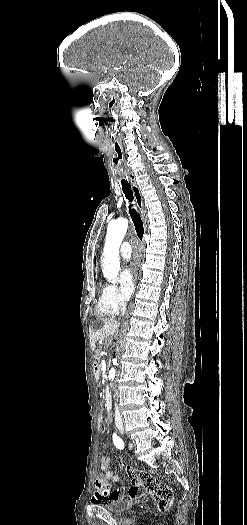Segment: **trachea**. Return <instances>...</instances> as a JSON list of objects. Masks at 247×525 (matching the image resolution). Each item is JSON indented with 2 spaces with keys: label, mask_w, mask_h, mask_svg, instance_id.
<instances>
[{
  "label": "trachea",
  "mask_w": 247,
  "mask_h": 525,
  "mask_svg": "<svg viewBox=\"0 0 247 525\" xmlns=\"http://www.w3.org/2000/svg\"><path fill=\"white\" fill-rule=\"evenodd\" d=\"M122 190L125 195V198L129 202V214L134 223L137 236L140 240H143V235L145 231L143 226V220L141 219L140 214L133 208L132 202L134 197L130 184L128 182H122Z\"/></svg>",
  "instance_id": "3493384b"
}]
</instances>
